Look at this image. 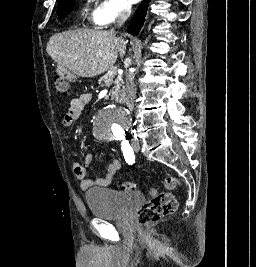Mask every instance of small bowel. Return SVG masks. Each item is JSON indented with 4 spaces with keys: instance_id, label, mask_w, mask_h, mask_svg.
<instances>
[{
    "instance_id": "small-bowel-1",
    "label": "small bowel",
    "mask_w": 256,
    "mask_h": 267,
    "mask_svg": "<svg viewBox=\"0 0 256 267\" xmlns=\"http://www.w3.org/2000/svg\"><path fill=\"white\" fill-rule=\"evenodd\" d=\"M91 101V94L84 92L79 95V97L72 99L70 101L69 108L62 118V124L64 126L71 125L79 116L81 115L84 107ZM92 162V156L86 153L84 156V165L78 162H73V174L76 178L81 180V188L84 190L90 189L94 186H107L111 183L114 175L120 169V161L113 160L106 168L104 175L100 178L90 179L86 178L87 167L90 166Z\"/></svg>"
}]
</instances>
